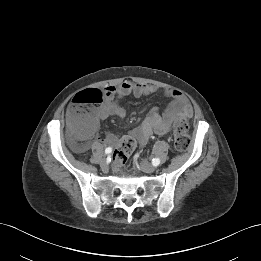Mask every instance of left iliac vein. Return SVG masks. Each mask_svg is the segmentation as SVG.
Here are the masks:
<instances>
[{"label": "left iliac vein", "mask_w": 261, "mask_h": 261, "mask_svg": "<svg viewBox=\"0 0 261 261\" xmlns=\"http://www.w3.org/2000/svg\"><path fill=\"white\" fill-rule=\"evenodd\" d=\"M139 165L141 170L144 171L145 173H152L156 170V167L150 164L149 162H147L146 160H141Z\"/></svg>", "instance_id": "obj_1"}]
</instances>
